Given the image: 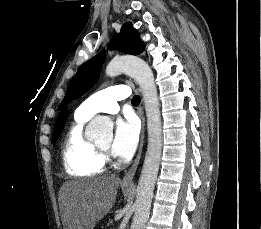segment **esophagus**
<instances>
[{
    "mask_svg": "<svg viewBox=\"0 0 261 229\" xmlns=\"http://www.w3.org/2000/svg\"><path fill=\"white\" fill-rule=\"evenodd\" d=\"M142 103H143V99H142ZM141 118H142V133H141V139H140V144H139V149L136 155V158L134 160V163L132 164V166L130 167V169L128 170V172L125 174V176L122 179V184L124 185H129V186H133V178L134 175L137 171L140 159H141V154H142V150H143V145H144V137H145V115L143 112V107H141Z\"/></svg>",
    "mask_w": 261,
    "mask_h": 229,
    "instance_id": "obj_1",
    "label": "esophagus"
}]
</instances>
